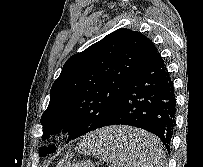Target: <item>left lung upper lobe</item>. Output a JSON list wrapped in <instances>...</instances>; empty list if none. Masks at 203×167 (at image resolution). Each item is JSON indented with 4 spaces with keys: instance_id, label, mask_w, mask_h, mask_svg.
<instances>
[{
    "instance_id": "obj_1",
    "label": "left lung upper lobe",
    "mask_w": 203,
    "mask_h": 167,
    "mask_svg": "<svg viewBox=\"0 0 203 167\" xmlns=\"http://www.w3.org/2000/svg\"><path fill=\"white\" fill-rule=\"evenodd\" d=\"M156 47L142 33L118 29L71 56L50 91L41 117L43 139L69 132L68 140L98 129L116 110L134 72ZM54 146L40 149V156Z\"/></svg>"
}]
</instances>
